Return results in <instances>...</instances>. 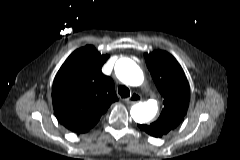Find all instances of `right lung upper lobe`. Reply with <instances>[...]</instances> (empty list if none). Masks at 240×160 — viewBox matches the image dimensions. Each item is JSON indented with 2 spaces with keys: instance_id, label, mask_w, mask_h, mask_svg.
<instances>
[{
  "instance_id": "1",
  "label": "right lung upper lobe",
  "mask_w": 240,
  "mask_h": 160,
  "mask_svg": "<svg viewBox=\"0 0 240 160\" xmlns=\"http://www.w3.org/2000/svg\"><path fill=\"white\" fill-rule=\"evenodd\" d=\"M108 55L94 46L74 51L55 76L52 102L58 121L77 134L89 131L118 100L113 80L101 68Z\"/></svg>"
}]
</instances>
